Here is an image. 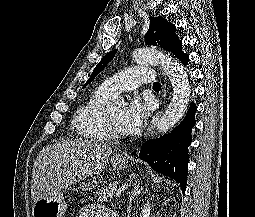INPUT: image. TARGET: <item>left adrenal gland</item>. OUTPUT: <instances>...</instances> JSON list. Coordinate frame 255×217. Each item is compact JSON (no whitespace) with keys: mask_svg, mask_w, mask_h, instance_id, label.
<instances>
[{"mask_svg":"<svg viewBox=\"0 0 255 217\" xmlns=\"http://www.w3.org/2000/svg\"><path fill=\"white\" fill-rule=\"evenodd\" d=\"M143 190L142 187H140V183H135L133 185V189L131 191V195H130V199H129V205L127 208V212H128V217L131 213V206H132V201L134 199L135 196H137L138 194H140V192Z\"/></svg>","mask_w":255,"mask_h":217,"instance_id":"left-adrenal-gland-1","label":"left adrenal gland"}]
</instances>
